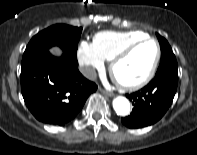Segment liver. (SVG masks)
Segmentation results:
<instances>
[{"label": "liver", "instance_id": "6515ba94", "mask_svg": "<svg viewBox=\"0 0 197 155\" xmlns=\"http://www.w3.org/2000/svg\"><path fill=\"white\" fill-rule=\"evenodd\" d=\"M50 52L54 55H57V56L61 55V50L59 48H56V47L52 48Z\"/></svg>", "mask_w": 197, "mask_h": 155}]
</instances>
